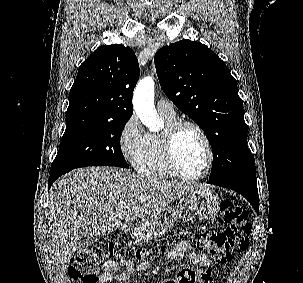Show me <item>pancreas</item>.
Masks as SVG:
<instances>
[{"instance_id":"1","label":"pancreas","mask_w":303,"mask_h":283,"mask_svg":"<svg viewBox=\"0 0 303 283\" xmlns=\"http://www.w3.org/2000/svg\"><path fill=\"white\" fill-rule=\"evenodd\" d=\"M134 238L139 239V240H144L146 242H148L149 240H151L152 236L147 235L145 233L142 232H137L134 234Z\"/></svg>"}]
</instances>
